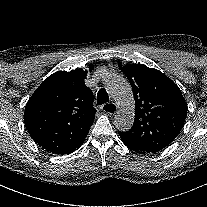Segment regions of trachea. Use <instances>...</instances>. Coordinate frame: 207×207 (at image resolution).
Wrapping results in <instances>:
<instances>
[{"mask_svg":"<svg viewBox=\"0 0 207 207\" xmlns=\"http://www.w3.org/2000/svg\"><path fill=\"white\" fill-rule=\"evenodd\" d=\"M109 101V96L107 94V91L105 89H100L98 91V94H97V102L99 105L101 104H104L106 102ZM107 105H105L104 107H106Z\"/></svg>","mask_w":207,"mask_h":207,"instance_id":"obj_1","label":"trachea"}]
</instances>
